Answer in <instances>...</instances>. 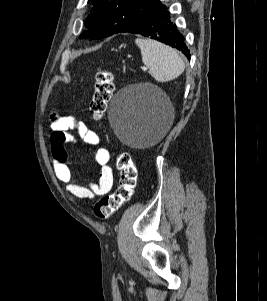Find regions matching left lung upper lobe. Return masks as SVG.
Wrapping results in <instances>:
<instances>
[{"label": "left lung upper lobe", "mask_w": 267, "mask_h": 301, "mask_svg": "<svg viewBox=\"0 0 267 301\" xmlns=\"http://www.w3.org/2000/svg\"><path fill=\"white\" fill-rule=\"evenodd\" d=\"M88 1L93 4L94 14L86 19V26L91 28L88 37L94 40L120 32L121 29L139 21L160 4L159 0Z\"/></svg>", "instance_id": "1"}]
</instances>
